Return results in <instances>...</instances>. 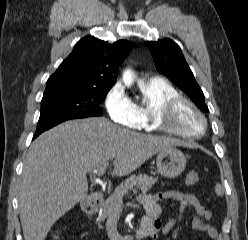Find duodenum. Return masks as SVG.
Returning <instances> with one entry per match:
<instances>
[{
    "label": "duodenum",
    "instance_id": "obj_1",
    "mask_svg": "<svg viewBox=\"0 0 248 240\" xmlns=\"http://www.w3.org/2000/svg\"><path fill=\"white\" fill-rule=\"evenodd\" d=\"M102 203V198L99 193H93L90 197H88L83 203V210L92 214L95 213ZM150 234V225L148 223H142L138 232L134 237H125L123 240H142L147 238Z\"/></svg>",
    "mask_w": 248,
    "mask_h": 240
}]
</instances>
